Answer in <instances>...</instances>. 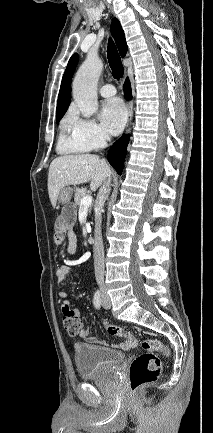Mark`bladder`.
<instances>
[{
  "instance_id": "31cf9c89",
  "label": "bladder",
  "mask_w": 213,
  "mask_h": 433,
  "mask_svg": "<svg viewBox=\"0 0 213 433\" xmlns=\"http://www.w3.org/2000/svg\"><path fill=\"white\" fill-rule=\"evenodd\" d=\"M77 372L82 379L102 378L125 359V354L106 347L78 343L74 347Z\"/></svg>"
}]
</instances>
